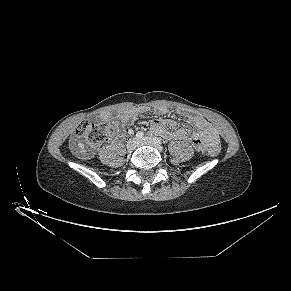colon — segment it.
<instances>
[{"label": "colon", "instance_id": "1", "mask_svg": "<svg viewBox=\"0 0 291 291\" xmlns=\"http://www.w3.org/2000/svg\"><path fill=\"white\" fill-rule=\"evenodd\" d=\"M115 131V127L103 121L94 123L85 121L79 125L76 134L90 145H99L108 141L114 135ZM207 152L211 157L217 156L220 152L219 144L209 147Z\"/></svg>", "mask_w": 291, "mask_h": 291}]
</instances>
